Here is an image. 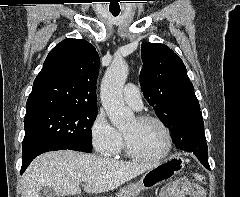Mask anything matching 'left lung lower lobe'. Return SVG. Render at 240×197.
Returning a JSON list of instances; mask_svg holds the SVG:
<instances>
[{"label":"left lung lower lobe","mask_w":240,"mask_h":197,"mask_svg":"<svg viewBox=\"0 0 240 197\" xmlns=\"http://www.w3.org/2000/svg\"><path fill=\"white\" fill-rule=\"evenodd\" d=\"M172 137L177 148L185 151H187L186 148L190 145H204L206 144L204 123L202 121H192L184 128L177 130ZM196 156L201 163L210 170V166L207 161V155L197 153Z\"/></svg>","instance_id":"1"}]
</instances>
